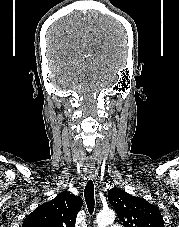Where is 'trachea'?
<instances>
[{
  "instance_id": "obj_1",
  "label": "trachea",
  "mask_w": 179,
  "mask_h": 227,
  "mask_svg": "<svg viewBox=\"0 0 179 227\" xmlns=\"http://www.w3.org/2000/svg\"><path fill=\"white\" fill-rule=\"evenodd\" d=\"M84 197L87 204V208L90 214L93 213L95 207V200H94V184L92 180H90L85 187L84 190Z\"/></svg>"
}]
</instances>
